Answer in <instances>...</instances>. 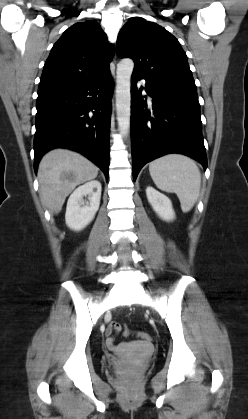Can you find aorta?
Wrapping results in <instances>:
<instances>
[{
    "instance_id": "aorta-1",
    "label": "aorta",
    "mask_w": 248,
    "mask_h": 419,
    "mask_svg": "<svg viewBox=\"0 0 248 419\" xmlns=\"http://www.w3.org/2000/svg\"><path fill=\"white\" fill-rule=\"evenodd\" d=\"M134 62L122 59L116 70V113L120 132L126 136L130 129L131 116V75Z\"/></svg>"
}]
</instances>
